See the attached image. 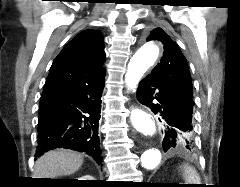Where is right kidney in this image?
Segmentation results:
<instances>
[{
    "mask_svg": "<svg viewBox=\"0 0 240 187\" xmlns=\"http://www.w3.org/2000/svg\"><path fill=\"white\" fill-rule=\"evenodd\" d=\"M78 180H94V178L93 176L85 175V176H82L81 178H78Z\"/></svg>",
    "mask_w": 240,
    "mask_h": 187,
    "instance_id": "right-kidney-1",
    "label": "right kidney"
}]
</instances>
